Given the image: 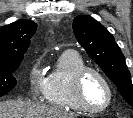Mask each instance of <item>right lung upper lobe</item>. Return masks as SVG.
<instances>
[{
    "instance_id": "right-lung-upper-lobe-1",
    "label": "right lung upper lobe",
    "mask_w": 133,
    "mask_h": 118,
    "mask_svg": "<svg viewBox=\"0 0 133 118\" xmlns=\"http://www.w3.org/2000/svg\"><path fill=\"white\" fill-rule=\"evenodd\" d=\"M36 27L37 24L30 20H18L0 27V62L22 61Z\"/></svg>"
}]
</instances>
